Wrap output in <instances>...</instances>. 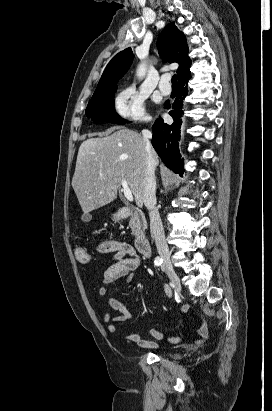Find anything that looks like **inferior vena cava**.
Returning a JSON list of instances; mask_svg holds the SVG:
<instances>
[{
    "mask_svg": "<svg viewBox=\"0 0 272 411\" xmlns=\"http://www.w3.org/2000/svg\"><path fill=\"white\" fill-rule=\"evenodd\" d=\"M150 119H147L149 121ZM143 138L146 142V170L144 177L143 201L149 211L150 225L155 239L156 247L160 258L164 262H170L169 248L165 239L162 221L156 208V178H155V159L152 155L150 139L152 133L144 129L142 130Z\"/></svg>",
    "mask_w": 272,
    "mask_h": 411,
    "instance_id": "obj_1",
    "label": "inferior vena cava"
}]
</instances>
